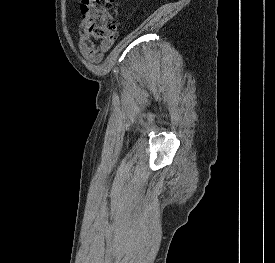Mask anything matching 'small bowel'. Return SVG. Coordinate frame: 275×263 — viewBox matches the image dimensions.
<instances>
[{
    "label": "small bowel",
    "mask_w": 275,
    "mask_h": 263,
    "mask_svg": "<svg viewBox=\"0 0 275 263\" xmlns=\"http://www.w3.org/2000/svg\"><path fill=\"white\" fill-rule=\"evenodd\" d=\"M78 44L81 55L86 60L95 63L100 62L104 56V52L109 50L112 46V43H101L96 46L90 39V36L82 29L79 33Z\"/></svg>",
    "instance_id": "1"
}]
</instances>
